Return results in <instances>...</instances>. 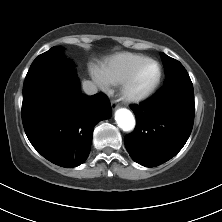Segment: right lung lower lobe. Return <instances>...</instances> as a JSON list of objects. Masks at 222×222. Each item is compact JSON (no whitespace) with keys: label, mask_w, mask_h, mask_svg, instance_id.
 I'll return each instance as SVG.
<instances>
[{"label":"right lung lower lobe","mask_w":222,"mask_h":222,"mask_svg":"<svg viewBox=\"0 0 222 222\" xmlns=\"http://www.w3.org/2000/svg\"><path fill=\"white\" fill-rule=\"evenodd\" d=\"M110 116L108 98L102 93L83 95L78 81L64 91L33 93L22 103L23 126L33 147L50 162L66 168L87 159L94 126Z\"/></svg>","instance_id":"98d812e1"}]
</instances>
